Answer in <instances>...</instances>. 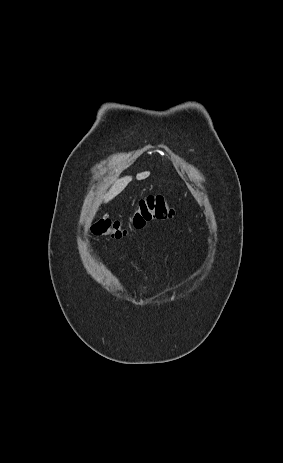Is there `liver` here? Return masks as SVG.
Returning <instances> with one entry per match:
<instances>
[{"label": "liver", "instance_id": "obj_1", "mask_svg": "<svg viewBox=\"0 0 283 463\" xmlns=\"http://www.w3.org/2000/svg\"><path fill=\"white\" fill-rule=\"evenodd\" d=\"M149 175H150L149 171L141 172L137 174L136 179L143 180L149 177ZM131 180L132 178L130 176H125V177L115 180L110 190L102 197V200L105 203L111 201L113 198H115L118 194H120L125 189V187L128 185V183Z\"/></svg>", "mask_w": 283, "mask_h": 463}]
</instances>
